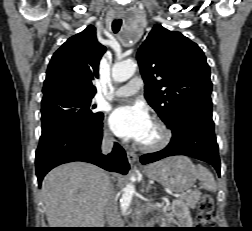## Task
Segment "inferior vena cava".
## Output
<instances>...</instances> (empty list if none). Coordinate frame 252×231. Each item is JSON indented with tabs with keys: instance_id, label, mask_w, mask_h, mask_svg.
Here are the masks:
<instances>
[{
	"instance_id": "602c4592",
	"label": "inferior vena cava",
	"mask_w": 252,
	"mask_h": 231,
	"mask_svg": "<svg viewBox=\"0 0 252 231\" xmlns=\"http://www.w3.org/2000/svg\"><path fill=\"white\" fill-rule=\"evenodd\" d=\"M114 144V138L110 134H104L101 150L103 154L111 152ZM104 211L107 223L110 228H121L122 219L118 212L117 195L113 185L109 183L105 189L103 196Z\"/></svg>"
}]
</instances>
